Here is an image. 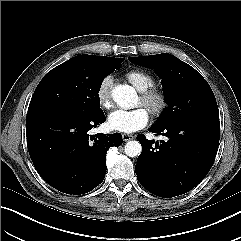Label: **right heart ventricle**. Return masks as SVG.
Listing matches in <instances>:
<instances>
[{"instance_id":"e07e8e85","label":"right heart ventricle","mask_w":241,"mask_h":241,"mask_svg":"<svg viewBox=\"0 0 241 241\" xmlns=\"http://www.w3.org/2000/svg\"><path fill=\"white\" fill-rule=\"evenodd\" d=\"M124 77L139 92L151 88L155 84L154 77L150 73L140 69L129 70L125 73Z\"/></svg>"}]
</instances>
